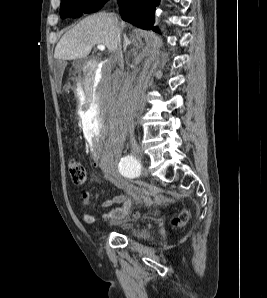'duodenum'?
I'll return each mask as SVG.
<instances>
[{
    "mask_svg": "<svg viewBox=\"0 0 267 298\" xmlns=\"http://www.w3.org/2000/svg\"><path fill=\"white\" fill-rule=\"evenodd\" d=\"M96 66L97 62H88L85 65V71H82L84 87L81 89V94L84 99H87L82 100L83 112H92L93 109V92L98 84V81L95 80L98 79V67Z\"/></svg>",
    "mask_w": 267,
    "mask_h": 298,
    "instance_id": "1",
    "label": "duodenum"
}]
</instances>
